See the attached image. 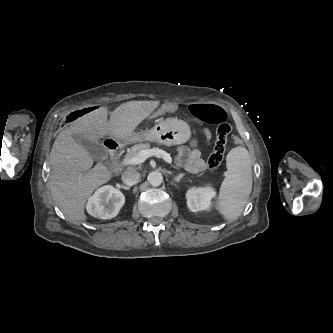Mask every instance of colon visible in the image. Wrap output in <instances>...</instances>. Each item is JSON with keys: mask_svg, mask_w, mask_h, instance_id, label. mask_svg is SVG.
Listing matches in <instances>:
<instances>
[{"mask_svg": "<svg viewBox=\"0 0 333 333\" xmlns=\"http://www.w3.org/2000/svg\"><path fill=\"white\" fill-rule=\"evenodd\" d=\"M97 110L98 109L95 106H87L85 109L83 108L82 110L71 113L67 117V120L68 122H72L77 118L86 116L90 113H95ZM191 112L195 117L205 123L218 125L216 131V141L213 147V151L208 159L209 169H216L224 158L227 140L229 135L232 133V126L227 122V114L221 107L214 104L193 105L191 107ZM234 131L237 133L239 130L236 128ZM236 133L233 135L234 137L232 139V143L237 148H242L244 146V141L242 137Z\"/></svg>", "mask_w": 333, "mask_h": 333, "instance_id": "5ec220e1", "label": "colon"}]
</instances>
